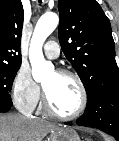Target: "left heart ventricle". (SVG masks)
Returning <instances> with one entry per match:
<instances>
[{"label": "left heart ventricle", "instance_id": "b2bd125f", "mask_svg": "<svg viewBox=\"0 0 119 141\" xmlns=\"http://www.w3.org/2000/svg\"><path fill=\"white\" fill-rule=\"evenodd\" d=\"M42 85L50 104L56 111L62 114H71L78 109L81 94L73 78L52 72Z\"/></svg>", "mask_w": 119, "mask_h": 141}]
</instances>
